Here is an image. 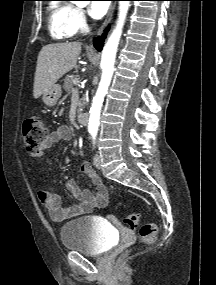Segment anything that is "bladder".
Here are the masks:
<instances>
[{
	"label": "bladder",
	"instance_id": "1",
	"mask_svg": "<svg viewBox=\"0 0 216 285\" xmlns=\"http://www.w3.org/2000/svg\"><path fill=\"white\" fill-rule=\"evenodd\" d=\"M64 247L88 255H101L113 245L115 235L93 216L79 217L65 223L60 230Z\"/></svg>",
	"mask_w": 216,
	"mask_h": 285
}]
</instances>
